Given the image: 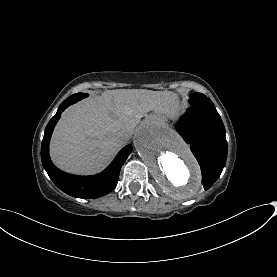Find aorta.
Returning a JSON list of instances; mask_svg holds the SVG:
<instances>
[{
    "label": "aorta",
    "mask_w": 277,
    "mask_h": 277,
    "mask_svg": "<svg viewBox=\"0 0 277 277\" xmlns=\"http://www.w3.org/2000/svg\"><path fill=\"white\" fill-rule=\"evenodd\" d=\"M134 146L162 190L177 199L194 197L201 188L199 165L187 144L171 129L146 124Z\"/></svg>",
    "instance_id": "obj_1"
}]
</instances>
